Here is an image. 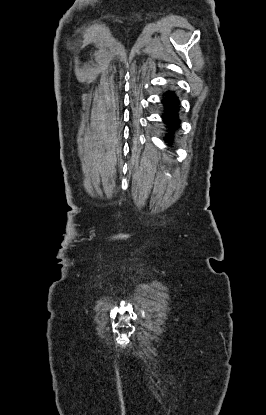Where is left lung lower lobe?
<instances>
[{
	"label": "left lung lower lobe",
	"mask_w": 266,
	"mask_h": 415,
	"mask_svg": "<svg viewBox=\"0 0 266 415\" xmlns=\"http://www.w3.org/2000/svg\"><path fill=\"white\" fill-rule=\"evenodd\" d=\"M164 113L162 118L167 129L164 141L170 145L173 142L174 132L179 128L180 101L174 90H167L162 97Z\"/></svg>",
	"instance_id": "left-lung-lower-lobe-1"
}]
</instances>
